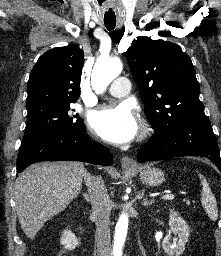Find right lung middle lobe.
Instances as JSON below:
<instances>
[{
    "instance_id": "1",
    "label": "right lung middle lobe",
    "mask_w": 221,
    "mask_h": 256,
    "mask_svg": "<svg viewBox=\"0 0 221 256\" xmlns=\"http://www.w3.org/2000/svg\"><path fill=\"white\" fill-rule=\"evenodd\" d=\"M27 110V124L21 144L48 132L85 129L84 121L78 114L72 113L70 104H42Z\"/></svg>"
}]
</instances>
